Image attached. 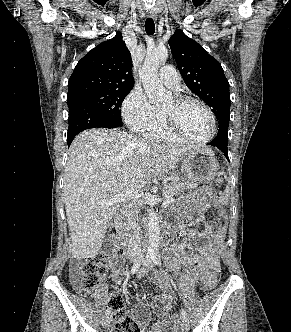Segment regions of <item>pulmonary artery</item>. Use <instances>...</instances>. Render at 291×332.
<instances>
[{
  "label": "pulmonary artery",
  "mask_w": 291,
  "mask_h": 332,
  "mask_svg": "<svg viewBox=\"0 0 291 332\" xmlns=\"http://www.w3.org/2000/svg\"><path fill=\"white\" fill-rule=\"evenodd\" d=\"M161 82L175 92L180 90V77L176 69L171 65L163 66L159 71Z\"/></svg>",
  "instance_id": "pulmonary-artery-1"
}]
</instances>
